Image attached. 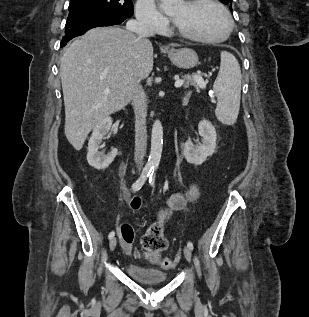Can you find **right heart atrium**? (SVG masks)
I'll use <instances>...</instances> for the list:
<instances>
[{"label": "right heart atrium", "mask_w": 309, "mask_h": 317, "mask_svg": "<svg viewBox=\"0 0 309 317\" xmlns=\"http://www.w3.org/2000/svg\"><path fill=\"white\" fill-rule=\"evenodd\" d=\"M135 17L140 28L146 32H159L168 27L167 18L157 9L154 0H137Z\"/></svg>", "instance_id": "obj_1"}]
</instances>
